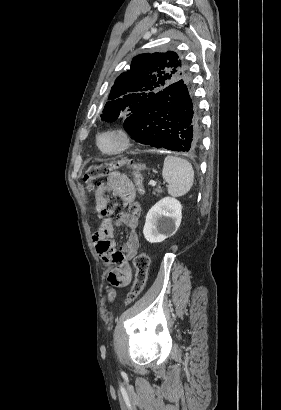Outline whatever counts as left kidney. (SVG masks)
I'll return each mask as SVG.
<instances>
[{
	"label": "left kidney",
	"mask_w": 281,
	"mask_h": 410,
	"mask_svg": "<svg viewBox=\"0 0 281 410\" xmlns=\"http://www.w3.org/2000/svg\"><path fill=\"white\" fill-rule=\"evenodd\" d=\"M181 219V203L175 198H162L146 215V222L143 228L145 239L150 243L164 241L178 229ZM166 231L169 233L166 234Z\"/></svg>",
	"instance_id": "1"
}]
</instances>
